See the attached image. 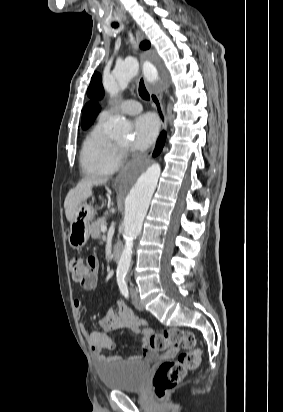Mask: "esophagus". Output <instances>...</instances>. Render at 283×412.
Masks as SVG:
<instances>
[{
	"label": "esophagus",
	"mask_w": 283,
	"mask_h": 412,
	"mask_svg": "<svg viewBox=\"0 0 283 412\" xmlns=\"http://www.w3.org/2000/svg\"><path fill=\"white\" fill-rule=\"evenodd\" d=\"M136 37H137V42L138 43L141 42L142 39H143V36H142L140 31L136 32ZM145 84H146V87H147L148 92L150 94L153 106L155 107V109L157 111V114L159 116L161 129L166 130V128H167V118H166V114H165V111H164V108H163V105H162V101H161V98H162L161 91L151 88L147 83H145ZM121 177H122V173H120L116 177L115 183L119 182Z\"/></svg>",
	"instance_id": "1"
}]
</instances>
